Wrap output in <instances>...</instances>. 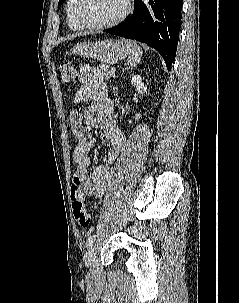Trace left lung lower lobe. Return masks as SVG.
<instances>
[{
	"instance_id": "0a47b994",
	"label": "left lung lower lobe",
	"mask_w": 239,
	"mask_h": 303,
	"mask_svg": "<svg viewBox=\"0 0 239 303\" xmlns=\"http://www.w3.org/2000/svg\"><path fill=\"white\" fill-rule=\"evenodd\" d=\"M183 0H135L133 14L122 24L104 30L136 39L156 49L171 70L181 27Z\"/></svg>"
}]
</instances>
